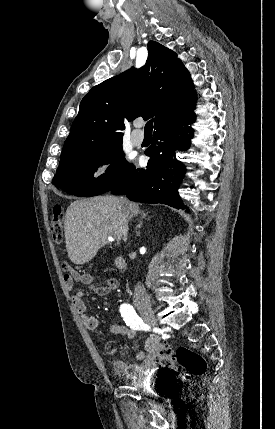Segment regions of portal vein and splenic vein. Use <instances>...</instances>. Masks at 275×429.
I'll return each instance as SVG.
<instances>
[{"mask_svg":"<svg viewBox=\"0 0 275 429\" xmlns=\"http://www.w3.org/2000/svg\"><path fill=\"white\" fill-rule=\"evenodd\" d=\"M109 239L119 241V240H121V236L120 235H114V236L109 237Z\"/></svg>","mask_w":275,"mask_h":429,"instance_id":"portal-vein-and-splenic-vein-1","label":"portal vein and splenic vein"}]
</instances>
